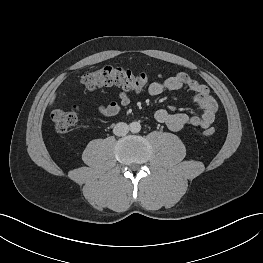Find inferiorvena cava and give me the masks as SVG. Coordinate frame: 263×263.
Masks as SVG:
<instances>
[{"label":"inferior vena cava","mask_w":263,"mask_h":263,"mask_svg":"<svg viewBox=\"0 0 263 263\" xmlns=\"http://www.w3.org/2000/svg\"><path fill=\"white\" fill-rule=\"evenodd\" d=\"M129 130V125L124 122H119L114 126L113 133L116 136H125L129 132Z\"/></svg>","instance_id":"inferior-vena-cava-1"}]
</instances>
